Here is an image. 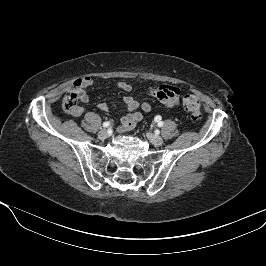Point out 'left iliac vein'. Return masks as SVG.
<instances>
[{
    "instance_id": "obj_1",
    "label": "left iliac vein",
    "mask_w": 266,
    "mask_h": 266,
    "mask_svg": "<svg viewBox=\"0 0 266 266\" xmlns=\"http://www.w3.org/2000/svg\"><path fill=\"white\" fill-rule=\"evenodd\" d=\"M148 138L151 140V142L155 146H161L163 144V139L160 136H157V135L152 134V133H148Z\"/></svg>"
}]
</instances>
